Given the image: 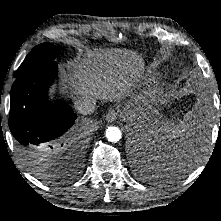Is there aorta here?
Here are the masks:
<instances>
[{
    "label": "aorta",
    "instance_id": "762f6f07",
    "mask_svg": "<svg viewBox=\"0 0 221 221\" xmlns=\"http://www.w3.org/2000/svg\"><path fill=\"white\" fill-rule=\"evenodd\" d=\"M147 132L143 131L140 136H147ZM105 136L108 141L116 143L121 140L122 132L115 126H110L106 129Z\"/></svg>",
    "mask_w": 221,
    "mask_h": 221
}]
</instances>
